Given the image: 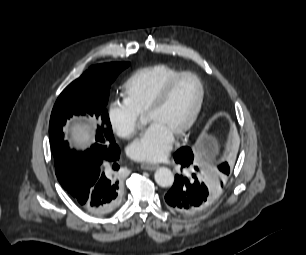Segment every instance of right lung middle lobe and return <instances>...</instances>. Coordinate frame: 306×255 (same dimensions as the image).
I'll return each mask as SVG.
<instances>
[{"label":"right lung middle lobe","mask_w":306,"mask_h":255,"mask_svg":"<svg viewBox=\"0 0 306 255\" xmlns=\"http://www.w3.org/2000/svg\"><path fill=\"white\" fill-rule=\"evenodd\" d=\"M130 65L129 62L105 63L90 67L59 95L51 113L49 139L54 156L56 176L63 187L73 181L77 161L111 159L118 146L115 143L106 105L111 83ZM88 115L96 125L95 143L84 152L70 149L62 132L66 120L73 115ZM98 120V122H96Z\"/></svg>","instance_id":"dd1d6c3e"}]
</instances>
